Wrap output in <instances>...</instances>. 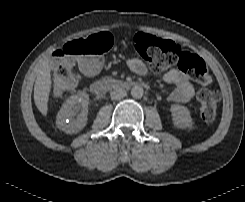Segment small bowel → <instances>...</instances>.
<instances>
[{
	"label": "small bowel",
	"mask_w": 245,
	"mask_h": 202,
	"mask_svg": "<svg viewBox=\"0 0 245 202\" xmlns=\"http://www.w3.org/2000/svg\"><path fill=\"white\" fill-rule=\"evenodd\" d=\"M91 74H96L101 70V64L89 61ZM126 67L135 75L144 76L147 74L145 64L138 58H131L125 61ZM163 79L166 83L172 84L175 88L168 95V100L174 103H186L190 101L195 93L194 85L189 76L178 68H172L165 73Z\"/></svg>",
	"instance_id": "c3829d8e"
}]
</instances>
